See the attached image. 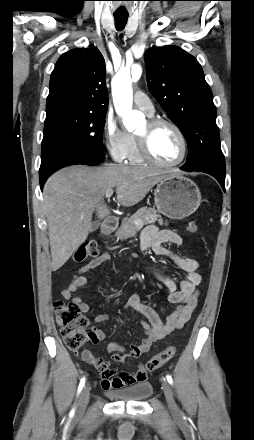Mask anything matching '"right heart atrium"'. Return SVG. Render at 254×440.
<instances>
[{
  "instance_id": "1",
  "label": "right heart atrium",
  "mask_w": 254,
  "mask_h": 440,
  "mask_svg": "<svg viewBox=\"0 0 254 440\" xmlns=\"http://www.w3.org/2000/svg\"><path fill=\"white\" fill-rule=\"evenodd\" d=\"M105 145L116 161L128 159L134 144V136L122 129L112 117H107L103 127Z\"/></svg>"
}]
</instances>
